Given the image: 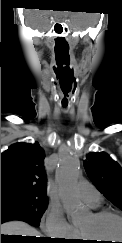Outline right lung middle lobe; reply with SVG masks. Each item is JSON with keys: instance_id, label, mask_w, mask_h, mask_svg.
<instances>
[{"instance_id": "right-lung-middle-lobe-1", "label": "right lung middle lobe", "mask_w": 122, "mask_h": 243, "mask_svg": "<svg viewBox=\"0 0 122 243\" xmlns=\"http://www.w3.org/2000/svg\"><path fill=\"white\" fill-rule=\"evenodd\" d=\"M48 205V198L29 195L1 196V210L22 212L40 223Z\"/></svg>"}]
</instances>
